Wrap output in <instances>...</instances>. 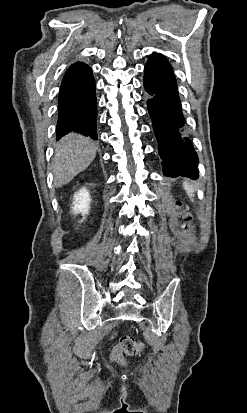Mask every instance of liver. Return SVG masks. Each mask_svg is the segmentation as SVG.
I'll return each mask as SVG.
<instances>
[{"instance_id":"obj_1","label":"liver","mask_w":247,"mask_h":413,"mask_svg":"<svg viewBox=\"0 0 247 413\" xmlns=\"http://www.w3.org/2000/svg\"><path fill=\"white\" fill-rule=\"evenodd\" d=\"M95 144L90 138L82 134L70 132L63 136L56 146L53 158V172L55 186H63L70 182L78 172L85 170L95 158Z\"/></svg>"}]
</instances>
